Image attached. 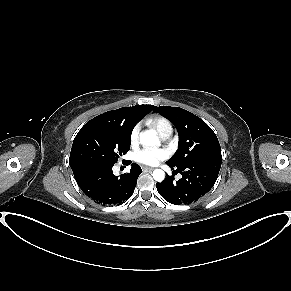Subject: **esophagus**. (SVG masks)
<instances>
[{"label": "esophagus", "instance_id": "esophagus-1", "mask_svg": "<svg viewBox=\"0 0 291 291\" xmlns=\"http://www.w3.org/2000/svg\"><path fill=\"white\" fill-rule=\"evenodd\" d=\"M142 169H143V171H153L154 170L153 167H147V166H143Z\"/></svg>", "mask_w": 291, "mask_h": 291}]
</instances>
